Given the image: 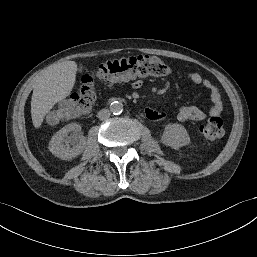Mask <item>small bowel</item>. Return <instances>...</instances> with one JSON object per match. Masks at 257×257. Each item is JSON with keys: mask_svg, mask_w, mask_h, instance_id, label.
I'll return each instance as SVG.
<instances>
[{"mask_svg": "<svg viewBox=\"0 0 257 257\" xmlns=\"http://www.w3.org/2000/svg\"><path fill=\"white\" fill-rule=\"evenodd\" d=\"M178 73L184 75L192 84L205 88L209 93L211 105L208 111L194 105L183 106L176 114L177 119L179 121H201L205 119L207 115L219 116L223 110V103L218 88L210 80L204 78L197 72L180 71ZM141 85L142 82L139 80L133 82L134 88H139ZM145 115L152 121H160L165 118V113L157 108H147Z\"/></svg>", "mask_w": 257, "mask_h": 257, "instance_id": "1", "label": "small bowel"}]
</instances>
